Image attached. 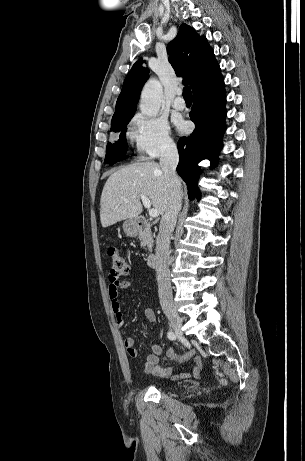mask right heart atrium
I'll return each mask as SVG.
<instances>
[{
  "instance_id": "right-heart-atrium-1",
  "label": "right heart atrium",
  "mask_w": 305,
  "mask_h": 461,
  "mask_svg": "<svg viewBox=\"0 0 305 461\" xmlns=\"http://www.w3.org/2000/svg\"><path fill=\"white\" fill-rule=\"evenodd\" d=\"M130 137L138 155L152 159L175 150L170 126L165 119L139 113L130 122Z\"/></svg>"
}]
</instances>
